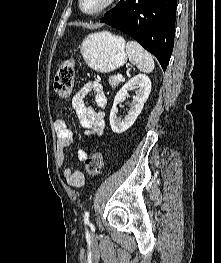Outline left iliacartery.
<instances>
[{"mask_svg":"<svg viewBox=\"0 0 221 263\" xmlns=\"http://www.w3.org/2000/svg\"><path fill=\"white\" fill-rule=\"evenodd\" d=\"M84 222H85L86 224H89V212H88V211L85 212V215H84Z\"/></svg>","mask_w":221,"mask_h":263,"instance_id":"left-iliac-artery-1","label":"left iliac artery"}]
</instances>
